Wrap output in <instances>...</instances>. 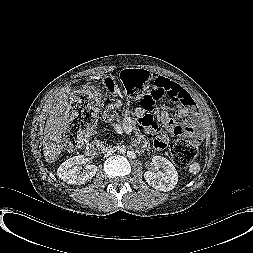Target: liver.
I'll return each mask as SVG.
<instances>
[{"label":"liver","mask_w":253,"mask_h":253,"mask_svg":"<svg viewBox=\"0 0 253 253\" xmlns=\"http://www.w3.org/2000/svg\"><path fill=\"white\" fill-rule=\"evenodd\" d=\"M71 89L64 87L58 91L51 104L49 117L46 121L43 139V153L46 162H55L64 147L62 144L68 127L69 104L67 102Z\"/></svg>","instance_id":"obj_1"}]
</instances>
